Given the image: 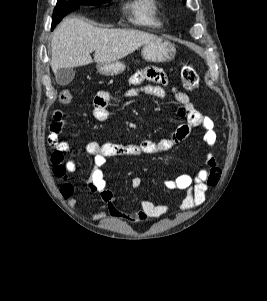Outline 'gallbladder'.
<instances>
[{
	"label": "gallbladder",
	"mask_w": 267,
	"mask_h": 301,
	"mask_svg": "<svg viewBox=\"0 0 267 301\" xmlns=\"http://www.w3.org/2000/svg\"><path fill=\"white\" fill-rule=\"evenodd\" d=\"M75 76V72L72 68H60L57 70L55 78L57 84L61 86L68 85Z\"/></svg>",
	"instance_id": "1"
}]
</instances>
